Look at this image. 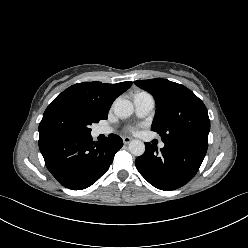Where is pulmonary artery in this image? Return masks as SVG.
I'll use <instances>...</instances> for the list:
<instances>
[{
	"instance_id": "1",
	"label": "pulmonary artery",
	"mask_w": 248,
	"mask_h": 248,
	"mask_svg": "<svg viewBox=\"0 0 248 248\" xmlns=\"http://www.w3.org/2000/svg\"><path fill=\"white\" fill-rule=\"evenodd\" d=\"M134 106L136 114L139 117H144L148 115L155 106V100L154 98L146 92H138L134 95L133 98ZM97 132L100 134H108L111 132V129L106 127H100L97 129ZM160 148L164 147V143L159 144Z\"/></svg>"
}]
</instances>
